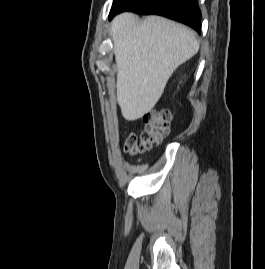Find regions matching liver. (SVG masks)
<instances>
[{"label": "liver", "instance_id": "6515ba94", "mask_svg": "<svg viewBox=\"0 0 265 269\" xmlns=\"http://www.w3.org/2000/svg\"><path fill=\"white\" fill-rule=\"evenodd\" d=\"M117 102L128 121L152 110L173 72L199 49L195 33L159 16L140 22L133 13L112 21Z\"/></svg>", "mask_w": 265, "mask_h": 269}]
</instances>
